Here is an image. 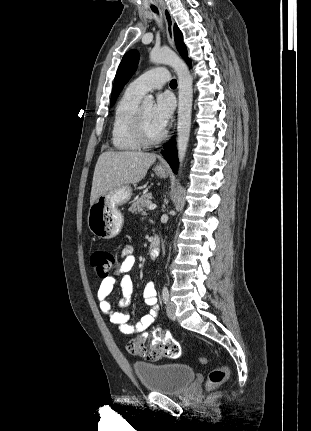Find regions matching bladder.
I'll return each mask as SVG.
<instances>
[{
  "label": "bladder",
  "mask_w": 311,
  "mask_h": 431,
  "mask_svg": "<svg viewBox=\"0 0 311 431\" xmlns=\"http://www.w3.org/2000/svg\"><path fill=\"white\" fill-rule=\"evenodd\" d=\"M133 370L144 389L162 394L182 393L195 377L194 370L181 363L151 364L139 362L133 365Z\"/></svg>",
  "instance_id": "1"
}]
</instances>
